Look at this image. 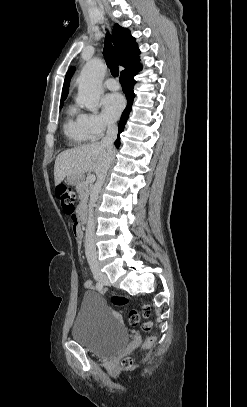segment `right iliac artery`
I'll return each instance as SVG.
<instances>
[{
  "label": "right iliac artery",
  "mask_w": 247,
  "mask_h": 407,
  "mask_svg": "<svg viewBox=\"0 0 247 407\" xmlns=\"http://www.w3.org/2000/svg\"><path fill=\"white\" fill-rule=\"evenodd\" d=\"M96 289H97L98 291H102V290H103V284L100 283V282H98V283L96 284Z\"/></svg>",
  "instance_id": "1"
}]
</instances>
